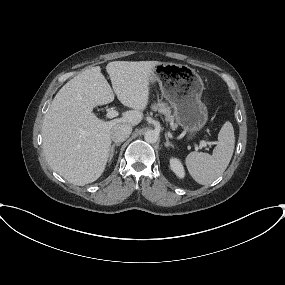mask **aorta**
<instances>
[{"label": "aorta", "instance_id": "762f6f07", "mask_svg": "<svg viewBox=\"0 0 285 285\" xmlns=\"http://www.w3.org/2000/svg\"><path fill=\"white\" fill-rule=\"evenodd\" d=\"M144 139L148 143H155L158 140V134L154 130H148L145 132Z\"/></svg>", "mask_w": 285, "mask_h": 285}]
</instances>
